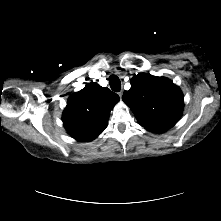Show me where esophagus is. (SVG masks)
Here are the masks:
<instances>
[{"mask_svg":"<svg viewBox=\"0 0 221 221\" xmlns=\"http://www.w3.org/2000/svg\"><path fill=\"white\" fill-rule=\"evenodd\" d=\"M118 94H119L120 98H122V95H123L122 91H120Z\"/></svg>","mask_w":221,"mask_h":221,"instance_id":"esophagus-1","label":"esophagus"}]
</instances>
